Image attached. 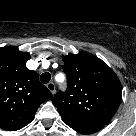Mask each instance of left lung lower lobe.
Listing matches in <instances>:
<instances>
[{"instance_id": "1", "label": "left lung lower lobe", "mask_w": 136, "mask_h": 136, "mask_svg": "<svg viewBox=\"0 0 136 136\" xmlns=\"http://www.w3.org/2000/svg\"><path fill=\"white\" fill-rule=\"evenodd\" d=\"M100 129H96V128H85V129H82L78 132L80 133H83V134H92V133H95L97 131H99Z\"/></svg>"}]
</instances>
